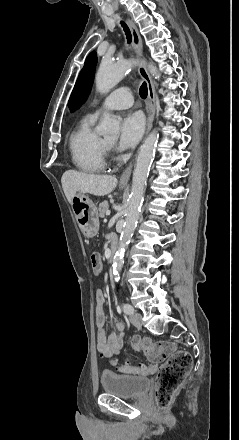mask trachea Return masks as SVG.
<instances>
[{"mask_svg":"<svg viewBox=\"0 0 239 440\" xmlns=\"http://www.w3.org/2000/svg\"><path fill=\"white\" fill-rule=\"evenodd\" d=\"M121 25L124 29V32L126 34V38L128 43L130 44L131 39H132V35L130 32V29L128 28V26L126 25V23H124L123 21H121ZM139 94L141 96V98H146L148 95V89H147V84L146 83H142L140 89H139Z\"/></svg>","mask_w":239,"mask_h":440,"instance_id":"obj_1","label":"trachea"}]
</instances>
